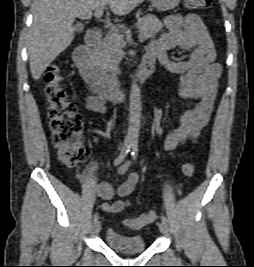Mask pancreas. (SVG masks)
<instances>
[{"mask_svg":"<svg viewBox=\"0 0 254 267\" xmlns=\"http://www.w3.org/2000/svg\"><path fill=\"white\" fill-rule=\"evenodd\" d=\"M136 26L140 34L144 35L146 39L154 38L163 30V24L155 15H146L139 18ZM122 31L127 33L125 28ZM124 43L120 35L116 34L114 36L112 33H108L101 44L93 51V58L96 64L105 71L116 73Z\"/></svg>","mask_w":254,"mask_h":267,"instance_id":"pancreas-1","label":"pancreas"}]
</instances>
